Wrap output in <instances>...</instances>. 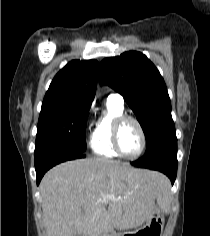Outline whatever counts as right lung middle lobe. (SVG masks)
Wrapping results in <instances>:
<instances>
[{"mask_svg": "<svg viewBox=\"0 0 210 236\" xmlns=\"http://www.w3.org/2000/svg\"><path fill=\"white\" fill-rule=\"evenodd\" d=\"M88 111L69 103L42 104L35 149L59 146L85 152Z\"/></svg>", "mask_w": 210, "mask_h": 236, "instance_id": "right-lung-middle-lobe-1", "label": "right lung middle lobe"}]
</instances>
